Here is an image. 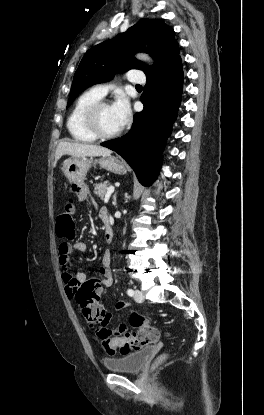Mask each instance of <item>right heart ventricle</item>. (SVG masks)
<instances>
[{"instance_id":"e07e8e85","label":"right heart ventricle","mask_w":264,"mask_h":415,"mask_svg":"<svg viewBox=\"0 0 264 415\" xmlns=\"http://www.w3.org/2000/svg\"><path fill=\"white\" fill-rule=\"evenodd\" d=\"M101 100L92 90L81 94L73 105L68 119L67 129L70 136L77 142L91 143L96 138L91 135L83 124V114L88 107Z\"/></svg>"}]
</instances>
